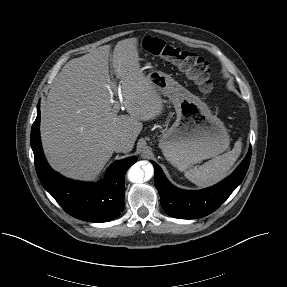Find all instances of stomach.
<instances>
[{
	"label": "stomach",
	"instance_id": "stomach-1",
	"mask_svg": "<svg viewBox=\"0 0 287 287\" xmlns=\"http://www.w3.org/2000/svg\"><path fill=\"white\" fill-rule=\"evenodd\" d=\"M155 89L169 98L177 118L159 138L166 160L179 171L223 153L230 144L224 123L206 103L190 93L170 75L151 71L147 76Z\"/></svg>",
	"mask_w": 287,
	"mask_h": 287
}]
</instances>
